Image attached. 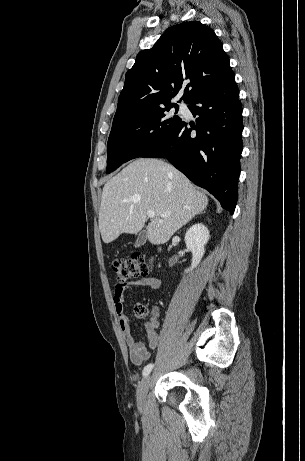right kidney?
<instances>
[{
  "label": "right kidney",
  "instance_id": "1",
  "mask_svg": "<svg viewBox=\"0 0 305 461\" xmlns=\"http://www.w3.org/2000/svg\"><path fill=\"white\" fill-rule=\"evenodd\" d=\"M209 237V230L202 223L194 224L186 232V247L193 254L191 267L185 270L186 273L192 271L200 263L205 253L204 247L207 244Z\"/></svg>",
  "mask_w": 305,
  "mask_h": 461
}]
</instances>
